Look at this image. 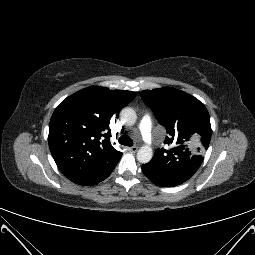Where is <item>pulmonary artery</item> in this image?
<instances>
[{
  "label": "pulmonary artery",
  "mask_w": 255,
  "mask_h": 255,
  "mask_svg": "<svg viewBox=\"0 0 255 255\" xmlns=\"http://www.w3.org/2000/svg\"><path fill=\"white\" fill-rule=\"evenodd\" d=\"M139 129L145 142H147L148 144H151L153 138H152V120L150 116L145 115L141 119L139 124Z\"/></svg>",
  "instance_id": "obj_1"
}]
</instances>
